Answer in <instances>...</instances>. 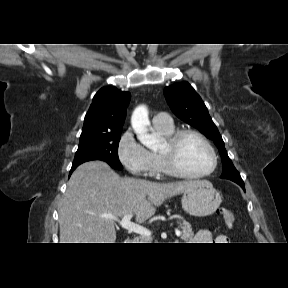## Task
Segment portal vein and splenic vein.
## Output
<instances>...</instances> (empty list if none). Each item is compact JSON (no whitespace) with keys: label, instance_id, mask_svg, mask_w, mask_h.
I'll return each instance as SVG.
<instances>
[{"label":"portal vein and splenic vein","instance_id":"obj_1","mask_svg":"<svg viewBox=\"0 0 288 288\" xmlns=\"http://www.w3.org/2000/svg\"><path fill=\"white\" fill-rule=\"evenodd\" d=\"M133 217V213H128L126 215L123 216V218L120 220L118 219V217L109 215L106 216V218L117 221L122 228L130 231V232H134L137 233L141 236L144 237H149L151 235V232L149 231V229L137 224V223H133L131 221V218ZM175 234L177 237H179L181 235V232L179 230H175Z\"/></svg>","mask_w":288,"mask_h":288}]
</instances>
